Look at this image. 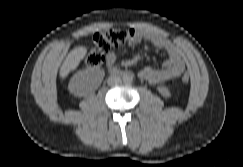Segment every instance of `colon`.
Masks as SVG:
<instances>
[{
  "mask_svg": "<svg viewBox=\"0 0 243 167\" xmlns=\"http://www.w3.org/2000/svg\"><path fill=\"white\" fill-rule=\"evenodd\" d=\"M130 39L131 30L126 28L109 29L96 33L93 38V47L86 53V64L90 67L101 66L105 61L106 52L124 46ZM181 80L186 84L190 81V77L188 74H184Z\"/></svg>",
  "mask_w": 243,
  "mask_h": 167,
  "instance_id": "colon-1",
  "label": "colon"
}]
</instances>
